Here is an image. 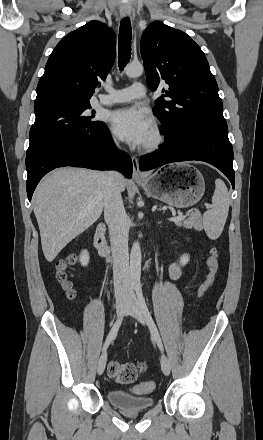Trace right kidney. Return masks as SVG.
I'll list each match as a JSON object with an SVG mask.
<instances>
[{
	"mask_svg": "<svg viewBox=\"0 0 263 440\" xmlns=\"http://www.w3.org/2000/svg\"><path fill=\"white\" fill-rule=\"evenodd\" d=\"M89 253L87 251H83L80 255V263L82 266H87L89 263Z\"/></svg>",
	"mask_w": 263,
	"mask_h": 440,
	"instance_id": "right-kidney-1",
	"label": "right kidney"
}]
</instances>
